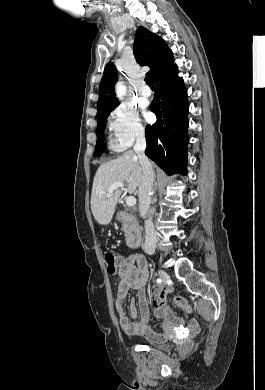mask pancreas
Listing matches in <instances>:
<instances>
[{"label":"pancreas","mask_w":265,"mask_h":390,"mask_svg":"<svg viewBox=\"0 0 265 390\" xmlns=\"http://www.w3.org/2000/svg\"><path fill=\"white\" fill-rule=\"evenodd\" d=\"M127 229H128V225H127V223H125V222H124V223H123V231H125V232H126V231H127Z\"/></svg>","instance_id":"obj_1"}]
</instances>
